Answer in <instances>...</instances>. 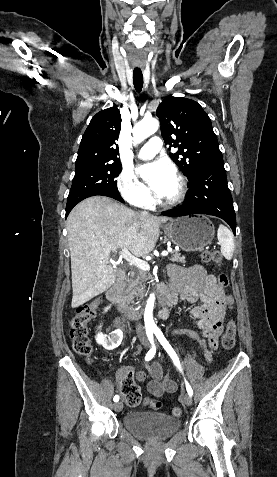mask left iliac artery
I'll use <instances>...</instances> for the list:
<instances>
[{
    "instance_id": "1",
    "label": "left iliac artery",
    "mask_w": 277,
    "mask_h": 477,
    "mask_svg": "<svg viewBox=\"0 0 277 477\" xmlns=\"http://www.w3.org/2000/svg\"><path fill=\"white\" fill-rule=\"evenodd\" d=\"M154 334L156 335L157 339L159 340L161 345L164 347V349L167 351V353L169 354V356L173 360L174 364L180 369V371H182L181 366H180V361H179V358H178L177 354L175 353L174 349L171 347L169 342L166 340V338L164 337L161 330L159 328H155L154 329ZM185 383H186V390H187L188 394L190 396H192L193 390H192L190 384L186 380H185Z\"/></svg>"
}]
</instances>
